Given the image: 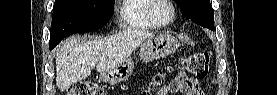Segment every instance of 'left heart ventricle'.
I'll use <instances>...</instances> for the list:
<instances>
[{
  "mask_svg": "<svg viewBox=\"0 0 277 95\" xmlns=\"http://www.w3.org/2000/svg\"><path fill=\"white\" fill-rule=\"evenodd\" d=\"M153 14L159 21H165L170 14V8L162 3L153 8Z\"/></svg>",
  "mask_w": 277,
  "mask_h": 95,
  "instance_id": "1",
  "label": "left heart ventricle"
}]
</instances>
